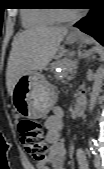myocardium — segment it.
I'll use <instances>...</instances> for the list:
<instances>
[{"mask_svg":"<svg viewBox=\"0 0 104 169\" xmlns=\"http://www.w3.org/2000/svg\"><path fill=\"white\" fill-rule=\"evenodd\" d=\"M52 13L55 16V18L57 19V21H60V22L73 21L79 16L78 11H75L73 14L66 15L62 12L61 9H53Z\"/></svg>","mask_w":104,"mask_h":169,"instance_id":"obj_1","label":"myocardium"}]
</instances>
